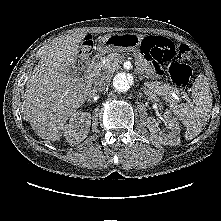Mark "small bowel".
I'll list each match as a JSON object with an SVG mask.
<instances>
[{
    "label": "small bowel",
    "instance_id": "small-bowel-1",
    "mask_svg": "<svg viewBox=\"0 0 221 221\" xmlns=\"http://www.w3.org/2000/svg\"><path fill=\"white\" fill-rule=\"evenodd\" d=\"M151 37L156 38V39H167L162 36H151ZM138 64L142 70L148 72L149 74H153V73L158 74L160 72V69L154 66L149 60H147L145 56L139 58Z\"/></svg>",
    "mask_w": 221,
    "mask_h": 221
}]
</instances>
